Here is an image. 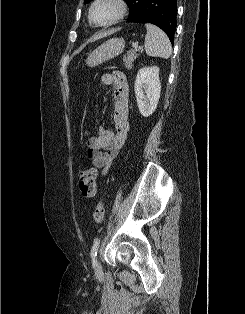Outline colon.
I'll return each mask as SVG.
<instances>
[{
	"label": "colon",
	"instance_id": "5ec220e1",
	"mask_svg": "<svg viewBox=\"0 0 245 314\" xmlns=\"http://www.w3.org/2000/svg\"><path fill=\"white\" fill-rule=\"evenodd\" d=\"M96 169L94 167L85 168L80 177V191L85 198H92L96 192ZM104 217V202L99 201L94 213V219L101 223Z\"/></svg>",
	"mask_w": 245,
	"mask_h": 314
}]
</instances>
